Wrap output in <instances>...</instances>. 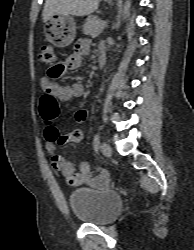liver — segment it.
I'll list each match as a JSON object with an SVG mask.
<instances>
[{
	"mask_svg": "<svg viewBox=\"0 0 194 250\" xmlns=\"http://www.w3.org/2000/svg\"><path fill=\"white\" fill-rule=\"evenodd\" d=\"M99 0H46L42 17L46 23L56 14L86 16L95 12Z\"/></svg>",
	"mask_w": 194,
	"mask_h": 250,
	"instance_id": "liver-1",
	"label": "liver"
}]
</instances>
